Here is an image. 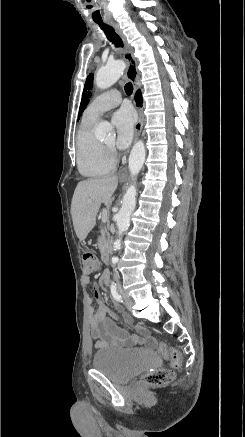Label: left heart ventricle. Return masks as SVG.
<instances>
[{
    "label": "left heart ventricle",
    "instance_id": "b2bd125f",
    "mask_svg": "<svg viewBox=\"0 0 245 437\" xmlns=\"http://www.w3.org/2000/svg\"><path fill=\"white\" fill-rule=\"evenodd\" d=\"M113 142H114L113 138H109V139H106V140L104 141V143L107 144V145H109V146H111V145L113 144Z\"/></svg>",
    "mask_w": 245,
    "mask_h": 437
}]
</instances>
